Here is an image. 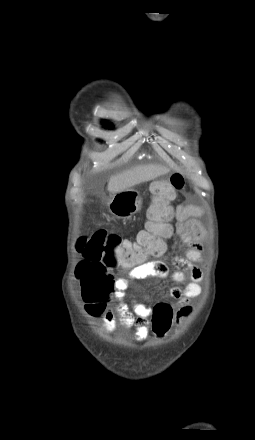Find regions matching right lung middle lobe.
<instances>
[{
  "mask_svg": "<svg viewBox=\"0 0 255 440\" xmlns=\"http://www.w3.org/2000/svg\"><path fill=\"white\" fill-rule=\"evenodd\" d=\"M103 123H104V124H106V123H107V121H104ZM105 127H106V128H112L113 126H112V124H111V123H108L107 125H105Z\"/></svg>",
  "mask_w": 255,
  "mask_h": 440,
  "instance_id": "right-lung-middle-lobe-1",
  "label": "right lung middle lobe"
}]
</instances>
